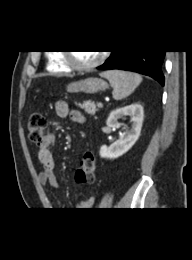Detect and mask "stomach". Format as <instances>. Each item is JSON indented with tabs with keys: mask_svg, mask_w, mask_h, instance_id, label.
I'll use <instances>...</instances> for the list:
<instances>
[{
	"mask_svg": "<svg viewBox=\"0 0 192 260\" xmlns=\"http://www.w3.org/2000/svg\"><path fill=\"white\" fill-rule=\"evenodd\" d=\"M107 88L106 82L101 79L89 77L80 81L72 82L67 86L69 93L94 94Z\"/></svg>",
	"mask_w": 192,
	"mask_h": 260,
	"instance_id": "stomach-1",
	"label": "stomach"
}]
</instances>
